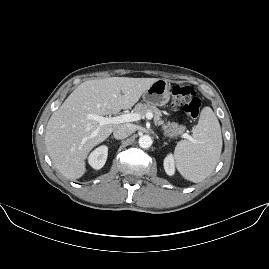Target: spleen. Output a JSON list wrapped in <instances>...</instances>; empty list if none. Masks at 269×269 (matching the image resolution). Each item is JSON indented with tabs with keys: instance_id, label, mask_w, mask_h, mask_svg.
<instances>
[{
	"instance_id": "obj_1",
	"label": "spleen",
	"mask_w": 269,
	"mask_h": 269,
	"mask_svg": "<svg viewBox=\"0 0 269 269\" xmlns=\"http://www.w3.org/2000/svg\"><path fill=\"white\" fill-rule=\"evenodd\" d=\"M222 151L219 121L210 107H205L193 129L192 141L179 142L173 153L175 167L187 181L199 183L215 169Z\"/></svg>"
}]
</instances>
